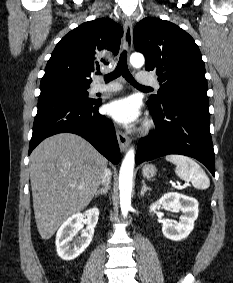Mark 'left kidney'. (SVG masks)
Wrapping results in <instances>:
<instances>
[{
	"label": "left kidney",
	"instance_id": "5707ae66",
	"mask_svg": "<svg viewBox=\"0 0 233 283\" xmlns=\"http://www.w3.org/2000/svg\"><path fill=\"white\" fill-rule=\"evenodd\" d=\"M162 206L166 210L181 211L183 215L179 221H163V235L173 241H180L188 237L194 228V222L198 217V201L195 198L170 192L164 194L157 202L150 206V212Z\"/></svg>",
	"mask_w": 233,
	"mask_h": 283
}]
</instances>
